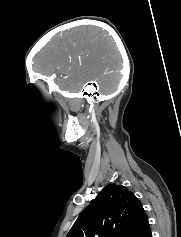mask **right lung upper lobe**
Masks as SVG:
<instances>
[{
  "mask_svg": "<svg viewBox=\"0 0 181 237\" xmlns=\"http://www.w3.org/2000/svg\"><path fill=\"white\" fill-rule=\"evenodd\" d=\"M149 222L139 199L109 184L79 215L66 237H147Z\"/></svg>",
  "mask_w": 181,
  "mask_h": 237,
  "instance_id": "cb5924a9",
  "label": "right lung upper lobe"
}]
</instances>
